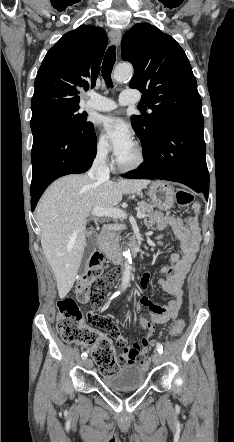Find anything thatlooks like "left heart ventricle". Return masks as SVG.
Instances as JSON below:
<instances>
[{"instance_id":"1","label":"left heart ventricle","mask_w":234,"mask_h":442,"mask_svg":"<svg viewBox=\"0 0 234 442\" xmlns=\"http://www.w3.org/2000/svg\"><path fill=\"white\" fill-rule=\"evenodd\" d=\"M135 159H136L135 146L128 153H126L125 155H123L122 157L119 158V160L125 164H130V163L134 162Z\"/></svg>"}]
</instances>
